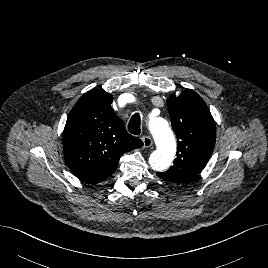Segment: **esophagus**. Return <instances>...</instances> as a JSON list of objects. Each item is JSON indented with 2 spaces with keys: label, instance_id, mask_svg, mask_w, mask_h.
Returning a JSON list of instances; mask_svg holds the SVG:
<instances>
[{
  "label": "esophagus",
  "instance_id": "esophagus-1",
  "mask_svg": "<svg viewBox=\"0 0 268 268\" xmlns=\"http://www.w3.org/2000/svg\"><path fill=\"white\" fill-rule=\"evenodd\" d=\"M142 141H143V146L146 148L151 147L153 144V140L149 136H143Z\"/></svg>",
  "mask_w": 268,
  "mask_h": 268
}]
</instances>
